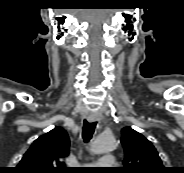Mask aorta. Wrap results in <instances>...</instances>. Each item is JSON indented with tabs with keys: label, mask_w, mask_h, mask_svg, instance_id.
<instances>
[{
	"label": "aorta",
	"mask_w": 184,
	"mask_h": 173,
	"mask_svg": "<svg viewBox=\"0 0 184 173\" xmlns=\"http://www.w3.org/2000/svg\"><path fill=\"white\" fill-rule=\"evenodd\" d=\"M116 140L112 134H102L91 144L90 151L94 154L111 152L115 149Z\"/></svg>",
	"instance_id": "1"
}]
</instances>
